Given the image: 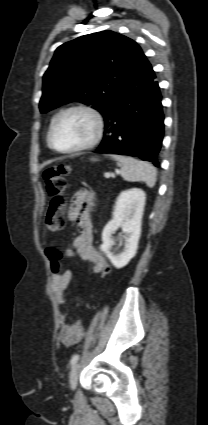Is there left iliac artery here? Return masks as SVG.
I'll return each instance as SVG.
<instances>
[{"instance_id":"left-iliac-artery-1","label":"left iliac artery","mask_w":208,"mask_h":425,"mask_svg":"<svg viewBox=\"0 0 208 425\" xmlns=\"http://www.w3.org/2000/svg\"><path fill=\"white\" fill-rule=\"evenodd\" d=\"M78 359H79V355L78 354L73 355L72 358H71V360H70V364L71 365H74L78 361Z\"/></svg>"}]
</instances>
